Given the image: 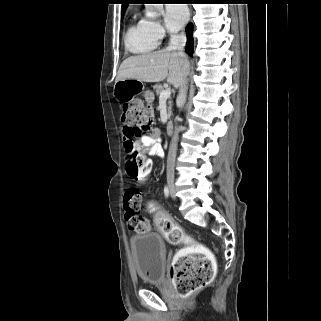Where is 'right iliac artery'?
<instances>
[{"label": "right iliac artery", "instance_id": "obj_1", "mask_svg": "<svg viewBox=\"0 0 321 321\" xmlns=\"http://www.w3.org/2000/svg\"><path fill=\"white\" fill-rule=\"evenodd\" d=\"M164 194L166 197L169 196V188L167 186L164 187Z\"/></svg>", "mask_w": 321, "mask_h": 321}]
</instances>
